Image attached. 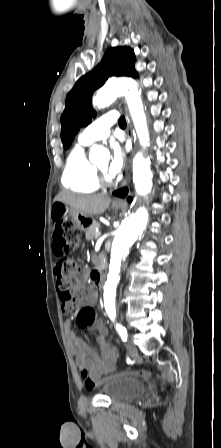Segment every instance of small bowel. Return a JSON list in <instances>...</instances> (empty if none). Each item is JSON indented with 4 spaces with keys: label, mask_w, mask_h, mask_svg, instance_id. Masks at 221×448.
<instances>
[{
    "label": "small bowel",
    "mask_w": 221,
    "mask_h": 448,
    "mask_svg": "<svg viewBox=\"0 0 221 448\" xmlns=\"http://www.w3.org/2000/svg\"><path fill=\"white\" fill-rule=\"evenodd\" d=\"M56 224L57 220L54 218L52 249L55 255L60 256L61 251L58 246L61 244V240L54 235ZM96 303L97 294L93 289L85 285L84 278L78 281L73 292V298L70 301L62 303V310L65 312L71 311L74 307L79 308V311L76 313V322L79 327L85 328L90 326L98 333L97 342L100 347V353L95 352L86 344L79 342L72 329V322L68 319L64 321L66 337L74 355L75 362L80 368L85 369L93 379H99L101 376L113 371L118 358L117 349L106 339L107 329L103 320L96 316L91 324L88 326L84 324V309L86 307L93 308Z\"/></svg>",
    "instance_id": "obj_1"
}]
</instances>
